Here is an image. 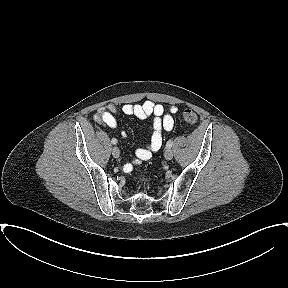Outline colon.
Wrapping results in <instances>:
<instances>
[{"label": "colon", "instance_id": "obj_1", "mask_svg": "<svg viewBox=\"0 0 288 288\" xmlns=\"http://www.w3.org/2000/svg\"><path fill=\"white\" fill-rule=\"evenodd\" d=\"M183 119L189 125H195L198 121L197 115L191 110H185L183 112ZM144 183H147L146 179H143Z\"/></svg>", "mask_w": 288, "mask_h": 288}]
</instances>
